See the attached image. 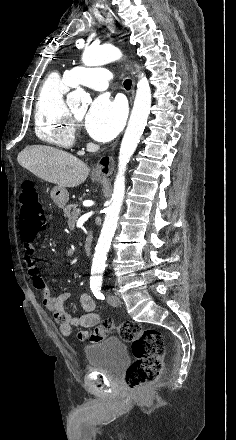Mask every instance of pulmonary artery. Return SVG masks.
Returning a JSON list of instances; mask_svg holds the SVG:
<instances>
[{
  "label": "pulmonary artery",
  "instance_id": "pulmonary-artery-1",
  "mask_svg": "<svg viewBox=\"0 0 236 440\" xmlns=\"http://www.w3.org/2000/svg\"><path fill=\"white\" fill-rule=\"evenodd\" d=\"M65 76L71 86L83 85L96 91L109 88L112 73L103 67H74Z\"/></svg>",
  "mask_w": 236,
  "mask_h": 440
}]
</instances>
